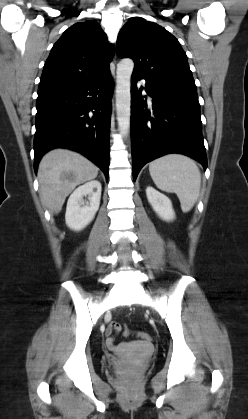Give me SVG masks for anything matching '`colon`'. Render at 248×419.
<instances>
[{
    "instance_id": "1",
    "label": "colon",
    "mask_w": 248,
    "mask_h": 419,
    "mask_svg": "<svg viewBox=\"0 0 248 419\" xmlns=\"http://www.w3.org/2000/svg\"><path fill=\"white\" fill-rule=\"evenodd\" d=\"M121 329H122V325L119 324V323H113L110 327V331H113V332L120 331ZM123 333L126 336L130 335V331L128 329H124ZM137 337L141 341H145V342L151 341V336L148 333H145V332H138Z\"/></svg>"
}]
</instances>
